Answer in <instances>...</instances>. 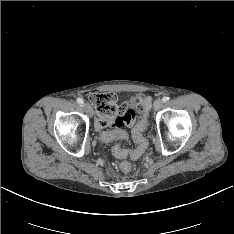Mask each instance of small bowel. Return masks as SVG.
<instances>
[{"mask_svg": "<svg viewBox=\"0 0 234 234\" xmlns=\"http://www.w3.org/2000/svg\"><path fill=\"white\" fill-rule=\"evenodd\" d=\"M143 102H144L143 96L141 95L138 97H132L131 99L128 100L126 106L123 108V111L127 114V121L123 126L132 128V134L134 132V128L137 126L135 125L136 116L140 117L142 115Z\"/></svg>", "mask_w": 234, "mask_h": 234, "instance_id": "small-bowel-1", "label": "small bowel"}]
</instances>
